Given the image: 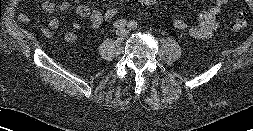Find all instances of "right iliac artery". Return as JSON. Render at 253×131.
<instances>
[{
  "label": "right iliac artery",
  "instance_id": "82829eb1",
  "mask_svg": "<svg viewBox=\"0 0 253 131\" xmlns=\"http://www.w3.org/2000/svg\"><path fill=\"white\" fill-rule=\"evenodd\" d=\"M126 25L127 21L124 19L117 20L113 23V27L117 29L124 28Z\"/></svg>",
  "mask_w": 253,
  "mask_h": 131
}]
</instances>
